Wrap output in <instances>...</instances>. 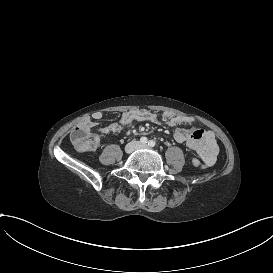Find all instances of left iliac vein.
Returning <instances> with one entry per match:
<instances>
[{
  "instance_id": "4c4485c4",
  "label": "left iliac vein",
  "mask_w": 273,
  "mask_h": 273,
  "mask_svg": "<svg viewBox=\"0 0 273 273\" xmlns=\"http://www.w3.org/2000/svg\"><path fill=\"white\" fill-rule=\"evenodd\" d=\"M141 148H148V145H146V144H141V145H139V147H138L137 149H141Z\"/></svg>"
}]
</instances>
